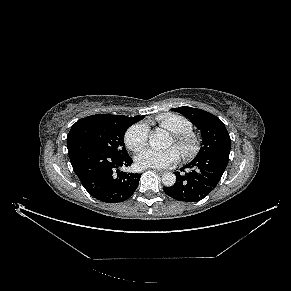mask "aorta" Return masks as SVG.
<instances>
[{"mask_svg": "<svg viewBox=\"0 0 291 291\" xmlns=\"http://www.w3.org/2000/svg\"><path fill=\"white\" fill-rule=\"evenodd\" d=\"M170 142V136L167 131L159 129L155 132H151L149 135L150 146L154 149H160ZM176 182V176L172 172L164 173L162 176V183L166 187H171Z\"/></svg>", "mask_w": 291, "mask_h": 291, "instance_id": "1", "label": "aorta"}]
</instances>
